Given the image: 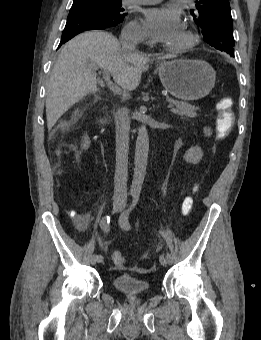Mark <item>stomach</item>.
<instances>
[{"label":"stomach","mask_w":261,"mask_h":340,"mask_svg":"<svg viewBox=\"0 0 261 340\" xmlns=\"http://www.w3.org/2000/svg\"><path fill=\"white\" fill-rule=\"evenodd\" d=\"M164 88L174 97L194 101L206 97L215 85L216 72L203 60L180 59L158 67Z\"/></svg>","instance_id":"stomach-1"}]
</instances>
